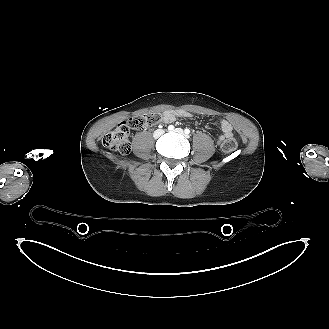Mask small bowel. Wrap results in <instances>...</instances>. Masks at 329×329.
Segmentation results:
<instances>
[{"instance_id": "1", "label": "small bowel", "mask_w": 329, "mask_h": 329, "mask_svg": "<svg viewBox=\"0 0 329 329\" xmlns=\"http://www.w3.org/2000/svg\"><path fill=\"white\" fill-rule=\"evenodd\" d=\"M163 123H172L175 121L178 117H183V118H189L191 117V114L183 109H178V110H172V111H166L163 114ZM221 130L223 132V135H221L218 138V142L221 143L224 139L233 137L234 135V130L230 122H228L225 119H221L219 121Z\"/></svg>"}]
</instances>
